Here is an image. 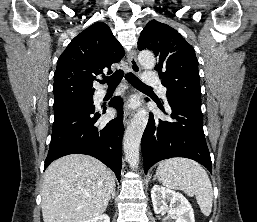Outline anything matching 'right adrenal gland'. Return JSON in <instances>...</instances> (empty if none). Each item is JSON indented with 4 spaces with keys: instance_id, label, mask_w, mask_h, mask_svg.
<instances>
[{
    "instance_id": "1",
    "label": "right adrenal gland",
    "mask_w": 257,
    "mask_h": 222,
    "mask_svg": "<svg viewBox=\"0 0 257 222\" xmlns=\"http://www.w3.org/2000/svg\"><path fill=\"white\" fill-rule=\"evenodd\" d=\"M114 197H115V189L112 192V199H114Z\"/></svg>"
}]
</instances>
